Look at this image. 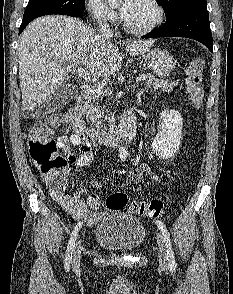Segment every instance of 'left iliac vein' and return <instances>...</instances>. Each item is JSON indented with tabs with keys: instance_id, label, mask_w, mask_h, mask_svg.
<instances>
[{
	"instance_id": "4c4485c4",
	"label": "left iliac vein",
	"mask_w": 233,
	"mask_h": 294,
	"mask_svg": "<svg viewBox=\"0 0 233 294\" xmlns=\"http://www.w3.org/2000/svg\"><path fill=\"white\" fill-rule=\"evenodd\" d=\"M157 244L159 248V262L162 267H166L168 265L167 260V250L165 246V241L161 233H157Z\"/></svg>"
}]
</instances>
